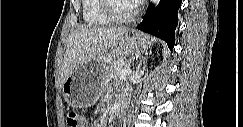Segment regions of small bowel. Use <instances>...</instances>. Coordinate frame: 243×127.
I'll return each mask as SVG.
<instances>
[{"label":"small bowel","mask_w":243,"mask_h":127,"mask_svg":"<svg viewBox=\"0 0 243 127\" xmlns=\"http://www.w3.org/2000/svg\"><path fill=\"white\" fill-rule=\"evenodd\" d=\"M83 123H84V127H88V122L86 119L83 120Z\"/></svg>","instance_id":"c3829d8e"}]
</instances>
